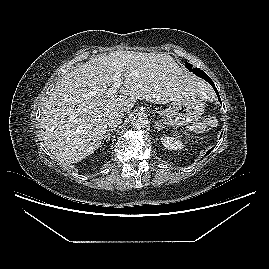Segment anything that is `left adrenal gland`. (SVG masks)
<instances>
[{
    "label": "left adrenal gland",
    "mask_w": 269,
    "mask_h": 269,
    "mask_svg": "<svg viewBox=\"0 0 269 269\" xmlns=\"http://www.w3.org/2000/svg\"><path fill=\"white\" fill-rule=\"evenodd\" d=\"M155 127H156L157 131H160L164 128L162 125L159 124L158 121H155Z\"/></svg>",
    "instance_id": "obj_1"
}]
</instances>
